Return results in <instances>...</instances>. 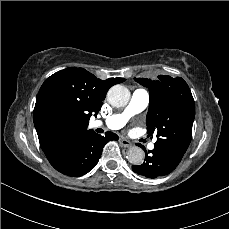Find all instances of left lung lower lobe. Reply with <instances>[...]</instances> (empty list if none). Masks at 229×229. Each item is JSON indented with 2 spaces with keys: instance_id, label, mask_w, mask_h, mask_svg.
I'll use <instances>...</instances> for the list:
<instances>
[{
  "instance_id": "0a47b994",
  "label": "left lung lower lobe",
  "mask_w": 229,
  "mask_h": 229,
  "mask_svg": "<svg viewBox=\"0 0 229 229\" xmlns=\"http://www.w3.org/2000/svg\"><path fill=\"white\" fill-rule=\"evenodd\" d=\"M148 152L149 154H146L145 161L141 165L132 166V170L135 173L147 178H157L168 175L178 166V164L166 157V153L163 149L157 146Z\"/></svg>"
}]
</instances>
